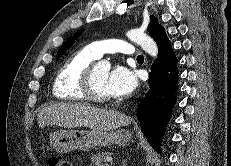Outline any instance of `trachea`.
Returning a JSON list of instances; mask_svg holds the SVG:
<instances>
[{
    "mask_svg": "<svg viewBox=\"0 0 231 166\" xmlns=\"http://www.w3.org/2000/svg\"><path fill=\"white\" fill-rule=\"evenodd\" d=\"M144 61V57H143V55H139L138 57H137V61Z\"/></svg>",
    "mask_w": 231,
    "mask_h": 166,
    "instance_id": "obj_1",
    "label": "trachea"
}]
</instances>
